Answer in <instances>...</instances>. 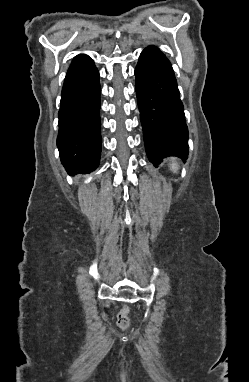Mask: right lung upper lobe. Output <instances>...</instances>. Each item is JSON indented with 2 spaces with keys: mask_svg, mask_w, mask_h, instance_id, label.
I'll list each match as a JSON object with an SVG mask.
<instances>
[{
  "mask_svg": "<svg viewBox=\"0 0 249 382\" xmlns=\"http://www.w3.org/2000/svg\"><path fill=\"white\" fill-rule=\"evenodd\" d=\"M89 57L87 55H83V54H80L78 56H76L69 69H68V72L72 71L73 69H75L76 67H78L79 65H81L82 63H84Z\"/></svg>",
  "mask_w": 249,
  "mask_h": 382,
  "instance_id": "obj_1",
  "label": "right lung upper lobe"
}]
</instances>
